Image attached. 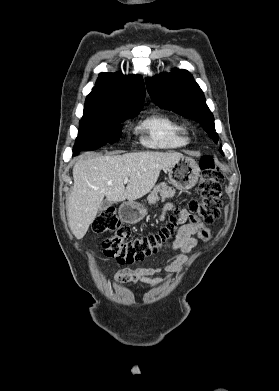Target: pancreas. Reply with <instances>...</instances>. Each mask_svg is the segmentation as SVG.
Returning <instances> with one entry per match:
<instances>
[{
  "instance_id": "obj_1",
  "label": "pancreas",
  "mask_w": 279,
  "mask_h": 391,
  "mask_svg": "<svg viewBox=\"0 0 279 391\" xmlns=\"http://www.w3.org/2000/svg\"><path fill=\"white\" fill-rule=\"evenodd\" d=\"M175 194L176 192L174 189L169 187L165 182H162L153 188L147 200L149 204H154L160 199L165 200L167 198H172Z\"/></svg>"
}]
</instances>
